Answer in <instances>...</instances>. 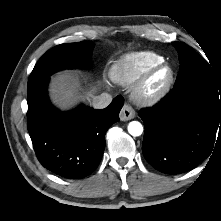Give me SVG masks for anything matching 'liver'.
Returning <instances> with one entry per match:
<instances>
[{
  "label": "liver",
  "mask_w": 221,
  "mask_h": 221,
  "mask_svg": "<svg viewBox=\"0 0 221 221\" xmlns=\"http://www.w3.org/2000/svg\"><path fill=\"white\" fill-rule=\"evenodd\" d=\"M79 82L68 74L63 73L54 77L50 84V97L52 102L61 110H68L76 104L79 99L90 100L93 97L92 93L86 96L78 95Z\"/></svg>",
  "instance_id": "1"
}]
</instances>
